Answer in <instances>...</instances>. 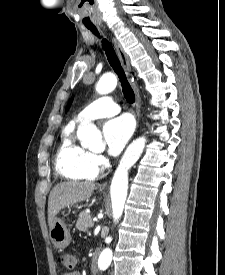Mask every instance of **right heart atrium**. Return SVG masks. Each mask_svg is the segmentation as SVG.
<instances>
[{"label": "right heart atrium", "instance_id": "d8ad5b80", "mask_svg": "<svg viewBox=\"0 0 225 275\" xmlns=\"http://www.w3.org/2000/svg\"><path fill=\"white\" fill-rule=\"evenodd\" d=\"M92 163L95 168L101 169L106 164V159L101 154L92 153Z\"/></svg>", "mask_w": 225, "mask_h": 275}]
</instances>
